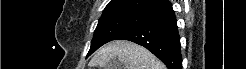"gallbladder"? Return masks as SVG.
Here are the masks:
<instances>
[{"label": "gallbladder", "instance_id": "1", "mask_svg": "<svg viewBox=\"0 0 246 69\" xmlns=\"http://www.w3.org/2000/svg\"><path fill=\"white\" fill-rule=\"evenodd\" d=\"M122 67H120V65L112 62L110 64H108L105 69H121Z\"/></svg>", "mask_w": 246, "mask_h": 69}]
</instances>
